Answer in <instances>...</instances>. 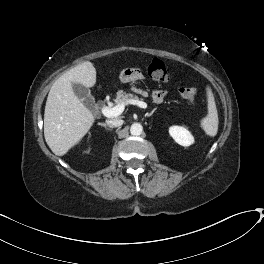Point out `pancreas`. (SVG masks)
I'll use <instances>...</instances> for the list:
<instances>
[{
	"mask_svg": "<svg viewBox=\"0 0 264 264\" xmlns=\"http://www.w3.org/2000/svg\"><path fill=\"white\" fill-rule=\"evenodd\" d=\"M138 100V97L137 96H133L132 94L130 93H126L124 92L123 90H119L117 92V96H116V99H115V102L116 103H124V104H128V101L129 100Z\"/></svg>",
	"mask_w": 264,
	"mask_h": 264,
	"instance_id": "1",
	"label": "pancreas"
}]
</instances>
